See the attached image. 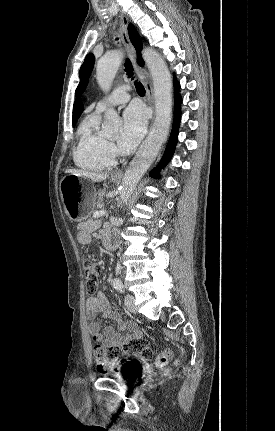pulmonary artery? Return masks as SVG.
<instances>
[{
	"label": "pulmonary artery",
	"instance_id": "obj_1",
	"mask_svg": "<svg viewBox=\"0 0 275 431\" xmlns=\"http://www.w3.org/2000/svg\"><path fill=\"white\" fill-rule=\"evenodd\" d=\"M129 89L130 88L128 85H122L116 88L107 98H104L97 103V111H103L108 106H114L128 102L130 99Z\"/></svg>",
	"mask_w": 275,
	"mask_h": 431
}]
</instances>
